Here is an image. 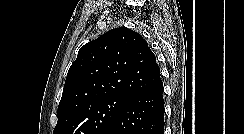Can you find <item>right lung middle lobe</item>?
I'll list each match as a JSON object with an SVG mask.
<instances>
[{
	"instance_id": "right-lung-middle-lobe-1",
	"label": "right lung middle lobe",
	"mask_w": 244,
	"mask_h": 134,
	"mask_svg": "<svg viewBox=\"0 0 244 134\" xmlns=\"http://www.w3.org/2000/svg\"><path fill=\"white\" fill-rule=\"evenodd\" d=\"M129 99L109 97L82 106L58 120L54 134H101L118 116Z\"/></svg>"
}]
</instances>
